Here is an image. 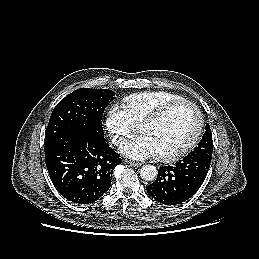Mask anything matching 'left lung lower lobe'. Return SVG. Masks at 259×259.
Wrapping results in <instances>:
<instances>
[{"mask_svg":"<svg viewBox=\"0 0 259 259\" xmlns=\"http://www.w3.org/2000/svg\"><path fill=\"white\" fill-rule=\"evenodd\" d=\"M211 160L187 155L173 166L159 169L155 182L146 187L148 194L166 205L180 204L192 197L208 173Z\"/></svg>","mask_w":259,"mask_h":259,"instance_id":"left-lung-lower-lobe-1","label":"left lung lower lobe"}]
</instances>
